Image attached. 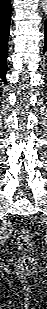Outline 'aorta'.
I'll list each match as a JSON object with an SVG mask.
<instances>
[{
    "instance_id": "aorta-1",
    "label": "aorta",
    "mask_w": 47,
    "mask_h": 309,
    "mask_svg": "<svg viewBox=\"0 0 47 309\" xmlns=\"http://www.w3.org/2000/svg\"><path fill=\"white\" fill-rule=\"evenodd\" d=\"M47 0H44V3L46 4Z\"/></svg>"
}]
</instances>
